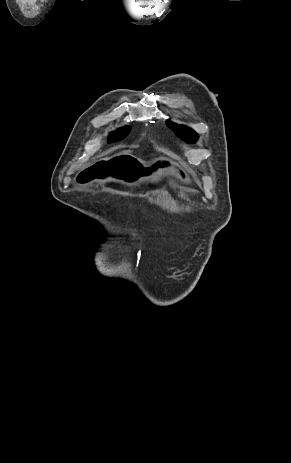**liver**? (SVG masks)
Wrapping results in <instances>:
<instances>
[{
    "mask_svg": "<svg viewBox=\"0 0 291 463\" xmlns=\"http://www.w3.org/2000/svg\"><path fill=\"white\" fill-rule=\"evenodd\" d=\"M129 152H130V151H123L122 153H125V154H126V153H129Z\"/></svg>",
    "mask_w": 291,
    "mask_h": 463,
    "instance_id": "6515ba94",
    "label": "liver"
}]
</instances>
